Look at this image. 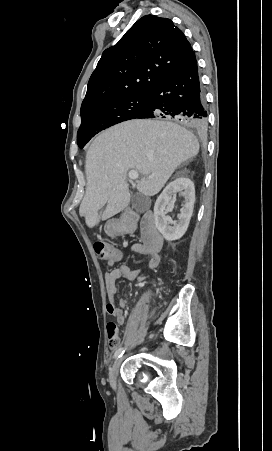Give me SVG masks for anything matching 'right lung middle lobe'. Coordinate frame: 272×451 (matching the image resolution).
I'll return each instance as SVG.
<instances>
[{
    "instance_id": "1",
    "label": "right lung middle lobe",
    "mask_w": 272,
    "mask_h": 451,
    "mask_svg": "<svg viewBox=\"0 0 272 451\" xmlns=\"http://www.w3.org/2000/svg\"><path fill=\"white\" fill-rule=\"evenodd\" d=\"M148 100L149 94L130 95L102 102L81 112L82 122L77 133L79 148L100 131L140 116L147 109Z\"/></svg>"
}]
</instances>
